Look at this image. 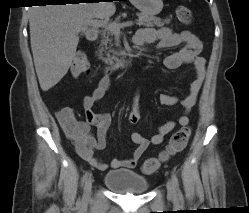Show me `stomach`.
Wrapping results in <instances>:
<instances>
[{"instance_id": "0dacf381", "label": "stomach", "mask_w": 249, "mask_h": 213, "mask_svg": "<svg viewBox=\"0 0 249 213\" xmlns=\"http://www.w3.org/2000/svg\"><path fill=\"white\" fill-rule=\"evenodd\" d=\"M131 3L143 14L154 16L163 8L162 0H130Z\"/></svg>"}]
</instances>
